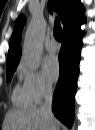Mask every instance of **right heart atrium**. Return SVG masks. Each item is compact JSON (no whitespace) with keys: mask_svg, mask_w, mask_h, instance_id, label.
Returning a JSON list of instances; mask_svg holds the SVG:
<instances>
[{"mask_svg":"<svg viewBox=\"0 0 95 130\" xmlns=\"http://www.w3.org/2000/svg\"><path fill=\"white\" fill-rule=\"evenodd\" d=\"M24 87L28 91L34 104L41 102L52 92V85L49 80L41 73L21 69Z\"/></svg>","mask_w":95,"mask_h":130,"instance_id":"d8ad5b80","label":"right heart atrium"}]
</instances>
